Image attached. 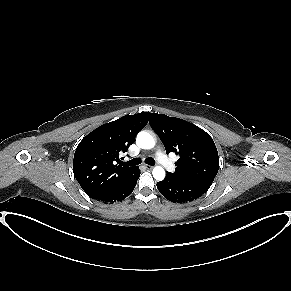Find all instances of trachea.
Masks as SVG:
<instances>
[{"mask_svg": "<svg viewBox=\"0 0 291 291\" xmlns=\"http://www.w3.org/2000/svg\"><path fill=\"white\" fill-rule=\"evenodd\" d=\"M140 163H141L140 158H134L128 162H123V165L134 166V165H138ZM145 163L152 166L155 164V160L153 158L149 157V158L145 159Z\"/></svg>", "mask_w": 291, "mask_h": 291, "instance_id": "trachea-1", "label": "trachea"}]
</instances>
